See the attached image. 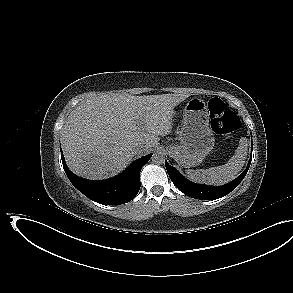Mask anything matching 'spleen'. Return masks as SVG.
Returning a JSON list of instances; mask_svg holds the SVG:
<instances>
[{
  "mask_svg": "<svg viewBox=\"0 0 293 293\" xmlns=\"http://www.w3.org/2000/svg\"><path fill=\"white\" fill-rule=\"evenodd\" d=\"M247 157V139L242 137L235 154L222 166L209 169L186 170L188 177L198 183L223 185L232 181L241 171Z\"/></svg>",
  "mask_w": 293,
  "mask_h": 293,
  "instance_id": "spleen-1",
  "label": "spleen"
}]
</instances>
